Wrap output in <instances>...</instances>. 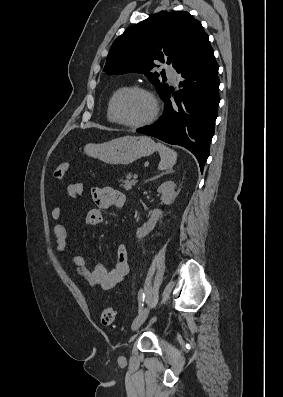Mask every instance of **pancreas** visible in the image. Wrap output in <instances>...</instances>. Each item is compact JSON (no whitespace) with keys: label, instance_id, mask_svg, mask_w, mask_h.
I'll return each instance as SVG.
<instances>
[{"label":"pancreas","instance_id":"obj_1","mask_svg":"<svg viewBox=\"0 0 283 397\" xmlns=\"http://www.w3.org/2000/svg\"><path fill=\"white\" fill-rule=\"evenodd\" d=\"M119 182L121 183V186L125 189V190H131L132 187L136 184V180L132 179L131 176H127L125 180L120 179Z\"/></svg>","mask_w":283,"mask_h":397}]
</instances>
